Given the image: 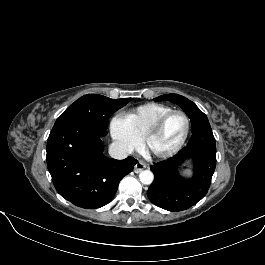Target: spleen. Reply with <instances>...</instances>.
Here are the masks:
<instances>
[{
	"label": "spleen",
	"instance_id": "spleen-1",
	"mask_svg": "<svg viewBox=\"0 0 265 265\" xmlns=\"http://www.w3.org/2000/svg\"><path fill=\"white\" fill-rule=\"evenodd\" d=\"M185 172L188 173V174L190 173V171H185Z\"/></svg>",
	"mask_w": 265,
	"mask_h": 265
}]
</instances>
